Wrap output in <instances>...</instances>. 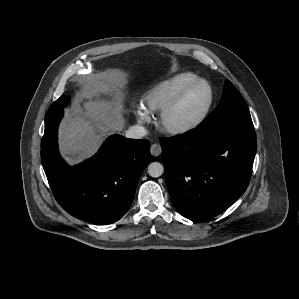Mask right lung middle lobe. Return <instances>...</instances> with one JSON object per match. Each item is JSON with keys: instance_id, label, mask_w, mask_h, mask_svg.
I'll return each mask as SVG.
<instances>
[{"instance_id": "obj_1", "label": "right lung middle lobe", "mask_w": 299, "mask_h": 299, "mask_svg": "<svg viewBox=\"0 0 299 299\" xmlns=\"http://www.w3.org/2000/svg\"><path fill=\"white\" fill-rule=\"evenodd\" d=\"M70 97L63 94L58 100H56L49 108V110L63 109L69 103Z\"/></svg>"}]
</instances>
